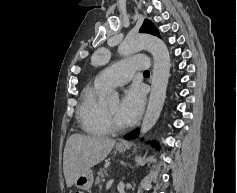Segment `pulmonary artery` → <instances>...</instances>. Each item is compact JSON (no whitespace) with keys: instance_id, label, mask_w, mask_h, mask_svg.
<instances>
[{"instance_id":"pulmonary-artery-1","label":"pulmonary artery","mask_w":237,"mask_h":193,"mask_svg":"<svg viewBox=\"0 0 237 193\" xmlns=\"http://www.w3.org/2000/svg\"><path fill=\"white\" fill-rule=\"evenodd\" d=\"M148 65L146 56L128 58L97 75L96 81L107 88L121 86L130 81L135 71L146 70Z\"/></svg>"}]
</instances>
